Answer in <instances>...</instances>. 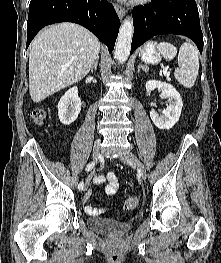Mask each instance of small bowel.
<instances>
[{
  "label": "small bowel",
  "instance_id": "obj_1",
  "mask_svg": "<svg viewBox=\"0 0 221 263\" xmlns=\"http://www.w3.org/2000/svg\"><path fill=\"white\" fill-rule=\"evenodd\" d=\"M94 183L99 185V184H105V194L108 196H112L116 194L118 187H119V182L116 178V176L112 172H108L105 174L97 175L94 177ZM91 192L88 191L86 192L83 202L85 203V209L88 213L90 214H98L102 211V208H96L91 205H88L87 202L90 199Z\"/></svg>",
  "mask_w": 221,
  "mask_h": 263
}]
</instances>
